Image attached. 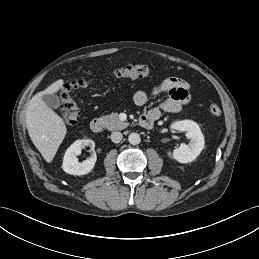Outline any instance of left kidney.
<instances>
[{
    "label": "left kidney",
    "mask_w": 259,
    "mask_h": 259,
    "mask_svg": "<svg viewBox=\"0 0 259 259\" xmlns=\"http://www.w3.org/2000/svg\"><path fill=\"white\" fill-rule=\"evenodd\" d=\"M171 127L178 131H185L186 137L190 139V142L188 145L181 144L173 152H167V155L180 163L194 161L203 150L205 144L204 136L198 124L192 120H181L174 122Z\"/></svg>",
    "instance_id": "5707ae66"
}]
</instances>
